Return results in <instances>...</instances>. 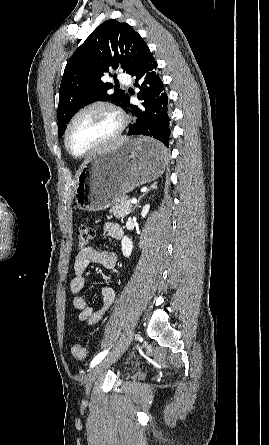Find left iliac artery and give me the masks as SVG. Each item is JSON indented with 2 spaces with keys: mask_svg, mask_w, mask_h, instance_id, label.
<instances>
[{
  "mask_svg": "<svg viewBox=\"0 0 269 445\" xmlns=\"http://www.w3.org/2000/svg\"><path fill=\"white\" fill-rule=\"evenodd\" d=\"M108 351L109 350L107 349L96 355L91 361L90 367L96 366L107 355Z\"/></svg>",
  "mask_w": 269,
  "mask_h": 445,
  "instance_id": "44dca946",
  "label": "left iliac artery"
}]
</instances>
